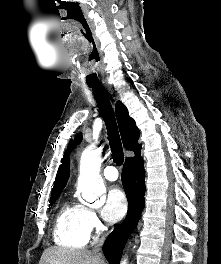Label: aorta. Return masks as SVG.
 I'll return each mask as SVG.
<instances>
[{
  "mask_svg": "<svg viewBox=\"0 0 221 264\" xmlns=\"http://www.w3.org/2000/svg\"><path fill=\"white\" fill-rule=\"evenodd\" d=\"M101 151L100 149H85L80 160V175L78 177V190L82 198L89 202H97L105 192V185L100 176ZM126 264V260L122 262Z\"/></svg>",
  "mask_w": 221,
  "mask_h": 264,
  "instance_id": "obj_1",
  "label": "aorta"
}]
</instances>
